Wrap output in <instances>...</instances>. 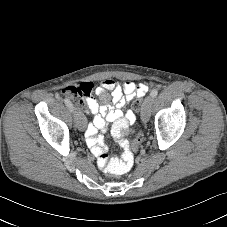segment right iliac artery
I'll return each instance as SVG.
<instances>
[{"label":"right iliac artery","mask_w":227,"mask_h":227,"mask_svg":"<svg viewBox=\"0 0 227 227\" xmlns=\"http://www.w3.org/2000/svg\"><path fill=\"white\" fill-rule=\"evenodd\" d=\"M64 103L71 111H73L74 107H73V104L71 103V101L69 99L65 98Z\"/></svg>","instance_id":"82829eb1"}]
</instances>
